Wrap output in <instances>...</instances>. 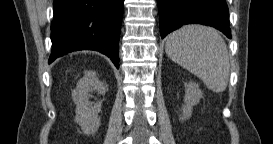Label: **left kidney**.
<instances>
[{"instance_id": "left-kidney-1", "label": "left kidney", "mask_w": 273, "mask_h": 144, "mask_svg": "<svg viewBox=\"0 0 273 144\" xmlns=\"http://www.w3.org/2000/svg\"><path fill=\"white\" fill-rule=\"evenodd\" d=\"M202 97L203 93L198 84L194 82L185 83L184 105L182 108L183 115L180 119H189L191 117L192 107L199 103Z\"/></svg>"}]
</instances>
